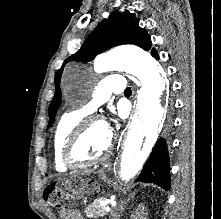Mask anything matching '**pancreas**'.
<instances>
[{
    "label": "pancreas",
    "mask_w": 221,
    "mask_h": 219,
    "mask_svg": "<svg viewBox=\"0 0 221 219\" xmlns=\"http://www.w3.org/2000/svg\"><path fill=\"white\" fill-rule=\"evenodd\" d=\"M102 198H98L94 200L88 207L85 208L84 214L88 218H98L104 217L107 215V211L105 210L107 205H102L100 203Z\"/></svg>",
    "instance_id": "pancreas-1"
}]
</instances>
